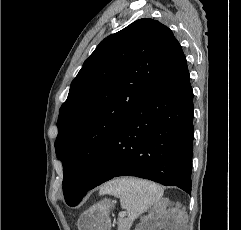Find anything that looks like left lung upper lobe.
Segmentation results:
<instances>
[{"instance_id":"1","label":"left lung upper lobe","mask_w":241,"mask_h":230,"mask_svg":"<svg viewBox=\"0 0 241 230\" xmlns=\"http://www.w3.org/2000/svg\"><path fill=\"white\" fill-rule=\"evenodd\" d=\"M184 58L167 26L143 18L105 38L85 60L57 122L55 149L68 205L90 184L96 155Z\"/></svg>"}]
</instances>
